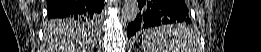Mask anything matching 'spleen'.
Masks as SVG:
<instances>
[{"label":"spleen","instance_id":"obj_1","mask_svg":"<svg viewBox=\"0 0 261 52\" xmlns=\"http://www.w3.org/2000/svg\"><path fill=\"white\" fill-rule=\"evenodd\" d=\"M185 30L183 24L148 30L145 33V48L149 52H191L193 38Z\"/></svg>","mask_w":261,"mask_h":52}]
</instances>
